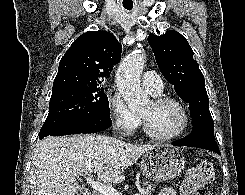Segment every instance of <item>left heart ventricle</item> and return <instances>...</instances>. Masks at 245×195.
Returning a JSON list of instances; mask_svg holds the SVG:
<instances>
[{
	"mask_svg": "<svg viewBox=\"0 0 245 195\" xmlns=\"http://www.w3.org/2000/svg\"><path fill=\"white\" fill-rule=\"evenodd\" d=\"M150 130L156 134L166 135L176 132L182 125L183 114L174 104L155 106L149 102L140 112Z\"/></svg>",
	"mask_w": 245,
	"mask_h": 195,
	"instance_id": "b2bd125f",
	"label": "left heart ventricle"
}]
</instances>
